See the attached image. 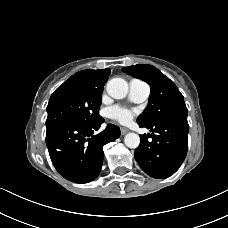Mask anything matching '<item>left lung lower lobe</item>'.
<instances>
[{"instance_id":"left-lung-lower-lobe-1","label":"left lung lower lobe","mask_w":228,"mask_h":228,"mask_svg":"<svg viewBox=\"0 0 228 228\" xmlns=\"http://www.w3.org/2000/svg\"><path fill=\"white\" fill-rule=\"evenodd\" d=\"M152 134L140 135L134 156L142 170L157 179L174 174L183 163L188 148L187 114H178L153 125H141ZM152 138L148 140V138Z\"/></svg>"}]
</instances>
